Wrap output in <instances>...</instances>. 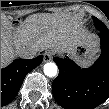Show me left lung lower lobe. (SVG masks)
I'll list each match as a JSON object with an SVG mask.
<instances>
[{
    "label": "left lung lower lobe",
    "instance_id": "1",
    "mask_svg": "<svg viewBox=\"0 0 109 109\" xmlns=\"http://www.w3.org/2000/svg\"><path fill=\"white\" fill-rule=\"evenodd\" d=\"M101 55L89 68L54 57L59 75L52 83L56 102L65 109H93L109 98V30L100 31Z\"/></svg>",
    "mask_w": 109,
    "mask_h": 109
}]
</instances>
